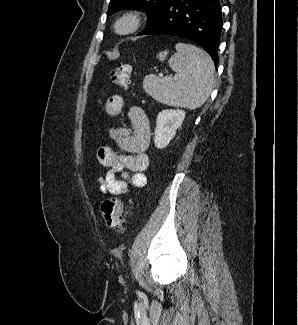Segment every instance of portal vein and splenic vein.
<instances>
[{
    "label": "portal vein and splenic vein",
    "instance_id": "1",
    "mask_svg": "<svg viewBox=\"0 0 298 325\" xmlns=\"http://www.w3.org/2000/svg\"><path fill=\"white\" fill-rule=\"evenodd\" d=\"M159 76H163L162 72H160Z\"/></svg>",
    "mask_w": 298,
    "mask_h": 325
}]
</instances>
